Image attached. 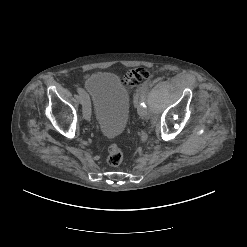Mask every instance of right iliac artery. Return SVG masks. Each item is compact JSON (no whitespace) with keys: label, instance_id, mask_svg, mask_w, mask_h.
<instances>
[{"label":"right iliac artery","instance_id":"right-iliac-artery-1","mask_svg":"<svg viewBox=\"0 0 247 247\" xmlns=\"http://www.w3.org/2000/svg\"><path fill=\"white\" fill-rule=\"evenodd\" d=\"M77 92L79 93L77 96L79 101H83L87 98V93L82 88H77Z\"/></svg>","mask_w":247,"mask_h":247}]
</instances>
